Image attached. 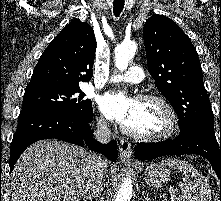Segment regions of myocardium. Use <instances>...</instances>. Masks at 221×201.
<instances>
[{
	"label": "myocardium",
	"mask_w": 221,
	"mask_h": 201,
	"mask_svg": "<svg viewBox=\"0 0 221 201\" xmlns=\"http://www.w3.org/2000/svg\"><path fill=\"white\" fill-rule=\"evenodd\" d=\"M136 101L138 102L153 101L159 104L166 115L167 127L165 130L158 133H140L129 129L123 124L121 126V129L123 130L124 133H126L131 137L141 140H164L172 137L177 132L178 130L177 114L173 109L172 105L165 97L155 93H144L138 95L136 97Z\"/></svg>",
	"instance_id": "1"
}]
</instances>
